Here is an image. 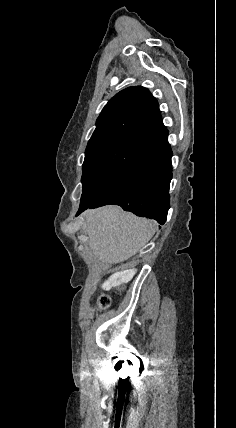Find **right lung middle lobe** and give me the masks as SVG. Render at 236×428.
<instances>
[{"label":"right lung middle lobe","mask_w":236,"mask_h":428,"mask_svg":"<svg viewBox=\"0 0 236 428\" xmlns=\"http://www.w3.org/2000/svg\"><path fill=\"white\" fill-rule=\"evenodd\" d=\"M143 148V142H125L85 157L80 206L91 203L113 185Z\"/></svg>","instance_id":"1"}]
</instances>
